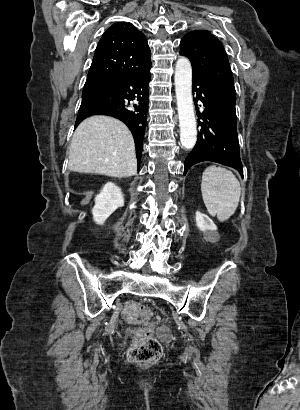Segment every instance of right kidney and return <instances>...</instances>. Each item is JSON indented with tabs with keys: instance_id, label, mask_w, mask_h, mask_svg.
<instances>
[{
	"instance_id": "1",
	"label": "right kidney",
	"mask_w": 300,
	"mask_h": 410,
	"mask_svg": "<svg viewBox=\"0 0 300 410\" xmlns=\"http://www.w3.org/2000/svg\"><path fill=\"white\" fill-rule=\"evenodd\" d=\"M124 206L121 189L112 182L104 185L95 198L92 209L93 219L97 224L103 225L106 219L119 207Z\"/></svg>"
}]
</instances>
